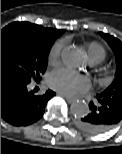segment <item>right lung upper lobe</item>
<instances>
[{
  "label": "right lung upper lobe",
  "instance_id": "cb5924a9",
  "mask_svg": "<svg viewBox=\"0 0 122 154\" xmlns=\"http://www.w3.org/2000/svg\"><path fill=\"white\" fill-rule=\"evenodd\" d=\"M33 29L44 36L61 35L62 30L44 28L40 25L31 24Z\"/></svg>",
  "mask_w": 122,
  "mask_h": 154
}]
</instances>
